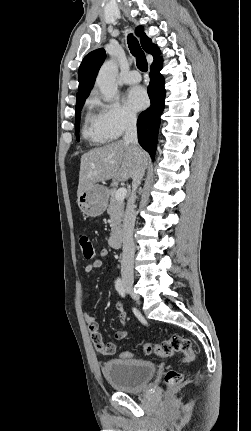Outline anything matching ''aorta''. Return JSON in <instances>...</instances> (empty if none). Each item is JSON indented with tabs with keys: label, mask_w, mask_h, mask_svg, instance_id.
<instances>
[{
	"label": "aorta",
	"mask_w": 251,
	"mask_h": 431,
	"mask_svg": "<svg viewBox=\"0 0 251 431\" xmlns=\"http://www.w3.org/2000/svg\"><path fill=\"white\" fill-rule=\"evenodd\" d=\"M117 74L118 65L113 60L104 62L99 70L98 76L96 78V84L104 97V101L106 102L113 100L118 92L116 85Z\"/></svg>",
	"instance_id": "762f6f07"
}]
</instances>
